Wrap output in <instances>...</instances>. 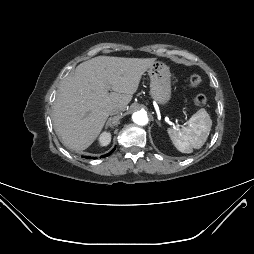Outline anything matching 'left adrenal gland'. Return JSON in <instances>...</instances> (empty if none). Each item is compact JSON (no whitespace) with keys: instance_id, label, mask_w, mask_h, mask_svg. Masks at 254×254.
<instances>
[{"instance_id":"1","label":"left adrenal gland","mask_w":254,"mask_h":254,"mask_svg":"<svg viewBox=\"0 0 254 254\" xmlns=\"http://www.w3.org/2000/svg\"><path fill=\"white\" fill-rule=\"evenodd\" d=\"M157 124H158L159 126H161L160 122H158V121H157Z\"/></svg>"}]
</instances>
